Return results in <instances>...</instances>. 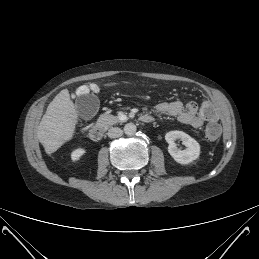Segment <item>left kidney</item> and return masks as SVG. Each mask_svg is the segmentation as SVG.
<instances>
[{
    "label": "left kidney",
    "instance_id": "1",
    "mask_svg": "<svg viewBox=\"0 0 259 259\" xmlns=\"http://www.w3.org/2000/svg\"><path fill=\"white\" fill-rule=\"evenodd\" d=\"M176 139H180L182 141L183 145L186 147L185 150H180L177 148L175 143ZM165 140L169 144V154L176 162L180 164H189L196 160L200 155L199 143L183 131L174 130L167 132L165 135Z\"/></svg>",
    "mask_w": 259,
    "mask_h": 259
}]
</instances>
